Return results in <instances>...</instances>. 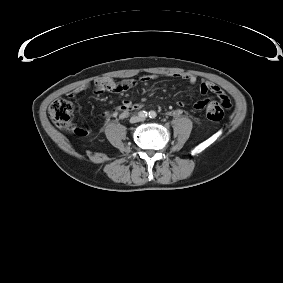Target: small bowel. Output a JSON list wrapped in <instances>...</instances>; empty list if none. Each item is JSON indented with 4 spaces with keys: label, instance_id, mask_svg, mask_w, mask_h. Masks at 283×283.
Wrapping results in <instances>:
<instances>
[{
    "label": "small bowel",
    "instance_id": "1",
    "mask_svg": "<svg viewBox=\"0 0 283 283\" xmlns=\"http://www.w3.org/2000/svg\"><path fill=\"white\" fill-rule=\"evenodd\" d=\"M175 78H180L183 79L185 81H187L189 84L191 85H196L197 84V77L193 74H188V73H183V74H175L173 75ZM156 78V76L154 75H147L142 77L141 81L142 82H150L152 80H154ZM136 85L135 81H128L125 84H118L116 82H114L111 79H98L93 83V87H94V93L95 95H100L104 92H110L113 94H124L126 93L130 88H132L133 86ZM91 87V84H84V85H80L78 87H76L75 89H73L71 92H69L67 94V96L69 98H73L76 95H78L80 92L88 89ZM200 94L204 97L203 99L197 101L194 103L193 108L196 111H202L205 108H207V106L211 103L209 101V99L205 98V96L208 93H212L215 96H217L218 98L220 97V95L222 93H224L220 87H218L216 84L206 81L200 84V88H199ZM225 94V93H224ZM178 107L182 108L184 107V102L183 101H178L177 102ZM144 106V104L142 102L139 103H132L131 101H124L123 104L119 107L118 110L115 111H104L101 114V117L103 119H108L112 116L115 115H121L122 117L128 115V113L130 111L133 110H139Z\"/></svg>",
    "mask_w": 283,
    "mask_h": 283
}]
</instances>
